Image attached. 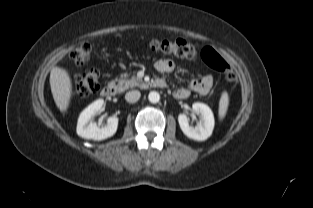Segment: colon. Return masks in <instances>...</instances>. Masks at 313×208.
Segmentation results:
<instances>
[{"label":"colon","instance_id":"colon-1","mask_svg":"<svg viewBox=\"0 0 313 208\" xmlns=\"http://www.w3.org/2000/svg\"><path fill=\"white\" fill-rule=\"evenodd\" d=\"M149 47L155 52L185 59H194L198 55L197 49L191 43L182 39H153L149 42ZM90 53V44L81 43L72 50L70 56L77 65H83L88 62ZM200 56L208 66L222 73L227 81L235 80L236 75L232 67L213 48L204 47L200 52ZM98 90L99 72L96 69L79 74L73 80L72 91L76 96L88 97L97 93Z\"/></svg>","mask_w":313,"mask_h":208}]
</instances>
